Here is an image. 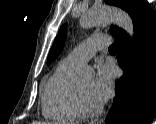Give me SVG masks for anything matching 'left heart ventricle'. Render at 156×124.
<instances>
[{"instance_id": "1", "label": "left heart ventricle", "mask_w": 156, "mask_h": 124, "mask_svg": "<svg viewBox=\"0 0 156 124\" xmlns=\"http://www.w3.org/2000/svg\"><path fill=\"white\" fill-rule=\"evenodd\" d=\"M92 82H93L92 79H85L80 81L78 83V86L80 87V90L88 105L91 107H96L99 104L94 100L92 96V92H91Z\"/></svg>"}]
</instances>
